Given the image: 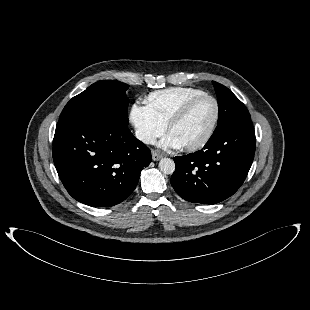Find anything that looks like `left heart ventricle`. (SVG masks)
Instances as JSON below:
<instances>
[{
	"label": "left heart ventricle",
	"instance_id": "1",
	"mask_svg": "<svg viewBox=\"0 0 310 310\" xmlns=\"http://www.w3.org/2000/svg\"><path fill=\"white\" fill-rule=\"evenodd\" d=\"M214 111V103L210 99H203L197 102L186 117L170 132L177 137L181 145L195 143L204 136L210 127Z\"/></svg>",
	"mask_w": 310,
	"mask_h": 310
}]
</instances>
